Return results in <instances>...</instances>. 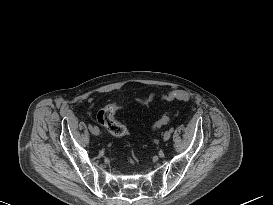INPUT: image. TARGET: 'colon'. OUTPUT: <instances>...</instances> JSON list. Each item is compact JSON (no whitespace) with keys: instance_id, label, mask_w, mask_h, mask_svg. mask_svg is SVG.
<instances>
[{"instance_id":"obj_1","label":"colon","mask_w":273,"mask_h":205,"mask_svg":"<svg viewBox=\"0 0 273 205\" xmlns=\"http://www.w3.org/2000/svg\"><path fill=\"white\" fill-rule=\"evenodd\" d=\"M163 99L166 101H188L189 95L180 90H175L163 95ZM118 104H109L100 110L97 114L98 122L112 135L125 136L129 133L128 129L115 119L116 112L121 108ZM170 120L169 114L165 113L159 120L153 125L152 129L157 130L168 124Z\"/></svg>"}]
</instances>
